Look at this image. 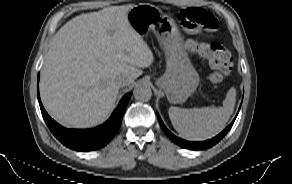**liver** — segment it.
I'll list each match as a JSON object with an SVG mask.
<instances>
[{
  "label": "liver",
  "mask_w": 292,
  "mask_h": 184,
  "mask_svg": "<svg viewBox=\"0 0 292 184\" xmlns=\"http://www.w3.org/2000/svg\"><path fill=\"white\" fill-rule=\"evenodd\" d=\"M133 6H114L76 16L53 38L40 79L42 103L58 123L88 128L105 120L119 86L150 66L153 53L129 24ZM128 84V85H129Z\"/></svg>",
  "instance_id": "liver-1"
}]
</instances>
